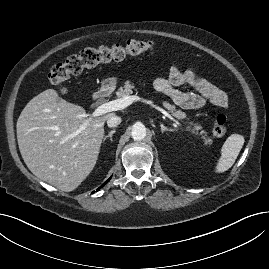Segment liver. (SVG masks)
Segmentation results:
<instances>
[{
    "label": "liver",
    "mask_w": 269,
    "mask_h": 269,
    "mask_svg": "<svg viewBox=\"0 0 269 269\" xmlns=\"http://www.w3.org/2000/svg\"><path fill=\"white\" fill-rule=\"evenodd\" d=\"M114 113L89 120L81 106L47 89L31 99L17 120V141L28 169L58 189L75 190L93 170L104 136V123Z\"/></svg>",
    "instance_id": "obj_1"
}]
</instances>
